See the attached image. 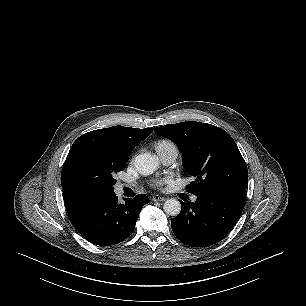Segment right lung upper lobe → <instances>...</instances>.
<instances>
[{"label":"right lung upper lobe","instance_id":"1","mask_svg":"<svg viewBox=\"0 0 306 306\" xmlns=\"http://www.w3.org/2000/svg\"><path fill=\"white\" fill-rule=\"evenodd\" d=\"M152 128L138 129L123 126H113L104 129L93 130L80 136L72 145L69 154L80 147H85L95 152L112 153L120 156H128L133 148L150 135ZM66 211L71 214L95 201L109 198L102 196L92 199H84L76 196L62 185Z\"/></svg>","mask_w":306,"mask_h":306}]
</instances>
